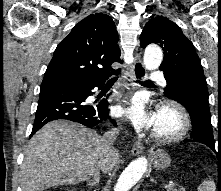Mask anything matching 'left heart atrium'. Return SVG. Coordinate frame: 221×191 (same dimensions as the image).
<instances>
[{
	"mask_svg": "<svg viewBox=\"0 0 221 191\" xmlns=\"http://www.w3.org/2000/svg\"><path fill=\"white\" fill-rule=\"evenodd\" d=\"M116 114L130 121L137 130L155 127L159 116L148 112L144 100L139 96L132 97L124 106H118Z\"/></svg>",
	"mask_w": 221,
	"mask_h": 191,
	"instance_id": "left-heart-atrium-1",
	"label": "left heart atrium"
}]
</instances>
